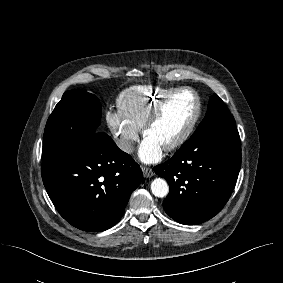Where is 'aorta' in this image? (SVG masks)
<instances>
[{"instance_id": "aorta-1", "label": "aorta", "mask_w": 283, "mask_h": 283, "mask_svg": "<svg viewBox=\"0 0 283 283\" xmlns=\"http://www.w3.org/2000/svg\"><path fill=\"white\" fill-rule=\"evenodd\" d=\"M151 191L156 197L163 198L168 194L169 186L164 179L156 178L151 183Z\"/></svg>"}]
</instances>
